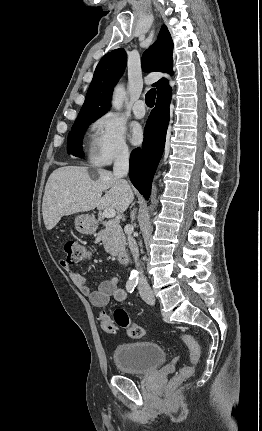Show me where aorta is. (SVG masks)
Masks as SVG:
<instances>
[{
  "mask_svg": "<svg viewBox=\"0 0 262 431\" xmlns=\"http://www.w3.org/2000/svg\"><path fill=\"white\" fill-rule=\"evenodd\" d=\"M126 97L125 89L122 85H117L113 92L112 97V107L116 110H120L123 106V101ZM130 280L136 281L137 280V272L133 270L130 274Z\"/></svg>",
  "mask_w": 262,
  "mask_h": 431,
  "instance_id": "1",
  "label": "aorta"
}]
</instances>
